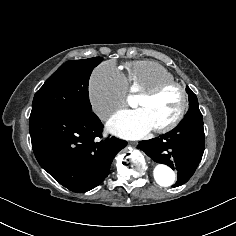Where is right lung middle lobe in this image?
I'll return each instance as SVG.
<instances>
[{"mask_svg":"<svg viewBox=\"0 0 236 236\" xmlns=\"http://www.w3.org/2000/svg\"><path fill=\"white\" fill-rule=\"evenodd\" d=\"M101 61L93 57L61 65L36 92L29 121L59 112H90L89 78Z\"/></svg>","mask_w":236,"mask_h":236,"instance_id":"obj_1","label":"right lung middle lobe"}]
</instances>
